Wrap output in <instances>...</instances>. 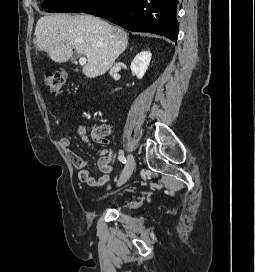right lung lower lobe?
<instances>
[{"label":"right lung lower lobe","instance_id":"98d812e1","mask_svg":"<svg viewBox=\"0 0 255 272\" xmlns=\"http://www.w3.org/2000/svg\"><path fill=\"white\" fill-rule=\"evenodd\" d=\"M177 0H98L84 13L127 30L152 32L177 42Z\"/></svg>","mask_w":255,"mask_h":272}]
</instances>
